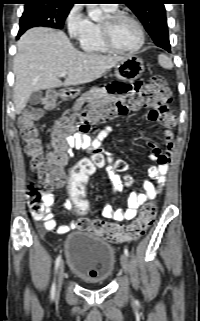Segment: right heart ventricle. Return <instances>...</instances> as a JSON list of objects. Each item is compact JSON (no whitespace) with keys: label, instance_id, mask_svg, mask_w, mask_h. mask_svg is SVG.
Segmentation results:
<instances>
[{"label":"right heart ventricle","instance_id":"1","mask_svg":"<svg viewBox=\"0 0 200 321\" xmlns=\"http://www.w3.org/2000/svg\"><path fill=\"white\" fill-rule=\"evenodd\" d=\"M104 9L109 13L116 11V7L109 8L104 6ZM79 45L83 51L91 54H106L110 52L102 41L100 24L96 22H91L88 31L79 38Z\"/></svg>","mask_w":200,"mask_h":321}]
</instances>
